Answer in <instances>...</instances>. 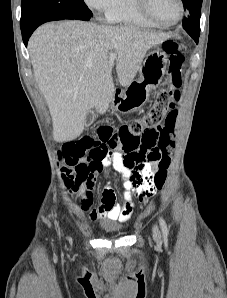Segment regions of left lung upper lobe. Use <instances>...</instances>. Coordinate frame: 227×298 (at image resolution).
<instances>
[{
  "label": "left lung upper lobe",
  "instance_id": "5c2ea615",
  "mask_svg": "<svg viewBox=\"0 0 227 298\" xmlns=\"http://www.w3.org/2000/svg\"><path fill=\"white\" fill-rule=\"evenodd\" d=\"M184 9L189 13L182 23L185 31L195 40L200 35V13L202 0H182Z\"/></svg>",
  "mask_w": 227,
  "mask_h": 298
}]
</instances>
